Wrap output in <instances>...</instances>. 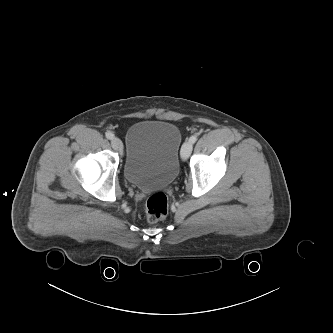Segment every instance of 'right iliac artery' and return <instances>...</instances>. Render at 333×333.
<instances>
[{"label": "right iliac artery", "mask_w": 333, "mask_h": 333, "mask_svg": "<svg viewBox=\"0 0 333 333\" xmlns=\"http://www.w3.org/2000/svg\"><path fill=\"white\" fill-rule=\"evenodd\" d=\"M105 135H106V138H108V139L114 138V135L111 132H107Z\"/></svg>", "instance_id": "82829eb1"}]
</instances>
